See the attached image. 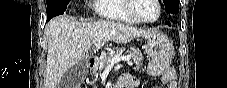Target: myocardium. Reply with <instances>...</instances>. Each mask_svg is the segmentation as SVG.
Returning a JSON list of instances; mask_svg holds the SVG:
<instances>
[{
  "mask_svg": "<svg viewBox=\"0 0 227 88\" xmlns=\"http://www.w3.org/2000/svg\"><path fill=\"white\" fill-rule=\"evenodd\" d=\"M153 1L158 8V14L152 20H144V19H141L137 16V14L135 13V2H136V0H128L127 5H126V9L129 13V15L135 20L136 23L152 24V23H155L159 20L161 13H162L160 1L159 0H153Z\"/></svg>",
  "mask_w": 227,
  "mask_h": 88,
  "instance_id": "myocardium-1",
  "label": "myocardium"
}]
</instances>
